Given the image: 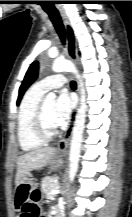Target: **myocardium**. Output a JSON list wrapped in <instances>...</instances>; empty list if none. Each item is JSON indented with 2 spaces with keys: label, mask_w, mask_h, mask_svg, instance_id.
Here are the masks:
<instances>
[{
  "label": "myocardium",
  "mask_w": 132,
  "mask_h": 217,
  "mask_svg": "<svg viewBox=\"0 0 132 217\" xmlns=\"http://www.w3.org/2000/svg\"><path fill=\"white\" fill-rule=\"evenodd\" d=\"M45 100H42L34 116V130L39 139L44 142L51 141L56 137L58 131L56 127L50 128L46 124L44 115Z\"/></svg>",
  "instance_id": "myocardium-1"
}]
</instances>
